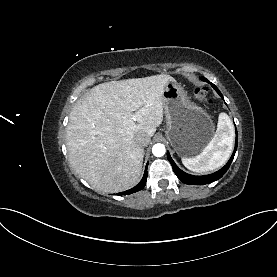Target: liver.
<instances>
[{"label":"liver","instance_id":"liver-1","mask_svg":"<svg viewBox=\"0 0 277 277\" xmlns=\"http://www.w3.org/2000/svg\"><path fill=\"white\" fill-rule=\"evenodd\" d=\"M170 75L99 84L74 105L66 131L69 161L97 191L117 193L135 186L141 175L143 147L163 121V92Z\"/></svg>","mask_w":277,"mask_h":277}]
</instances>
